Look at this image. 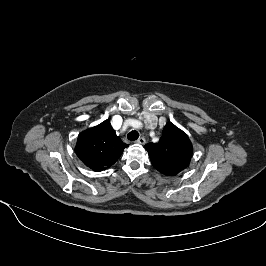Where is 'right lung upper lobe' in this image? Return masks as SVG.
<instances>
[{"mask_svg": "<svg viewBox=\"0 0 266 266\" xmlns=\"http://www.w3.org/2000/svg\"><path fill=\"white\" fill-rule=\"evenodd\" d=\"M128 145L110 125L109 120L81 132L75 152L79 159L93 171H102L113 165Z\"/></svg>", "mask_w": 266, "mask_h": 266, "instance_id": "cb5924a9", "label": "right lung upper lobe"}]
</instances>
